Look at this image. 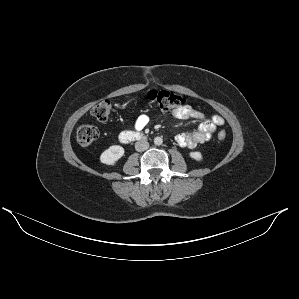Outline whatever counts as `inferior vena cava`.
Returning a JSON list of instances; mask_svg holds the SVG:
<instances>
[{"label":"inferior vena cava","instance_id":"obj_1","mask_svg":"<svg viewBox=\"0 0 299 299\" xmlns=\"http://www.w3.org/2000/svg\"><path fill=\"white\" fill-rule=\"evenodd\" d=\"M149 148V143L146 140H141L135 143V149L138 152L145 151Z\"/></svg>","mask_w":299,"mask_h":299}]
</instances>
